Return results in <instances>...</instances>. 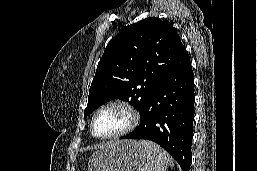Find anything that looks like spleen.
<instances>
[{
  "label": "spleen",
  "mask_w": 257,
  "mask_h": 171,
  "mask_svg": "<svg viewBox=\"0 0 257 171\" xmlns=\"http://www.w3.org/2000/svg\"><path fill=\"white\" fill-rule=\"evenodd\" d=\"M139 145L144 149L146 163L142 171H166L173 161L167 152L154 142L140 140Z\"/></svg>",
  "instance_id": "1"
}]
</instances>
